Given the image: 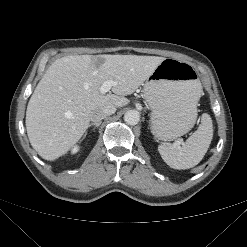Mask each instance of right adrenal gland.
Returning a JSON list of instances; mask_svg holds the SVG:
<instances>
[{
    "instance_id": "1",
    "label": "right adrenal gland",
    "mask_w": 247,
    "mask_h": 247,
    "mask_svg": "<svg viewBox=\"0 0 247 247\" xmlns=\"http://www.w3.org/2000/svg\"><path fill=\"white\" fill-rule=\"evenodd\" d=\"M100 124H101V122H99V123H91V124H89V128L91 126H94V128L92 129V131H95V129L98 128L100 126ZM86 135H87V132L85 133L84 136H86Z\"/></svg>"
}]
</instances>
